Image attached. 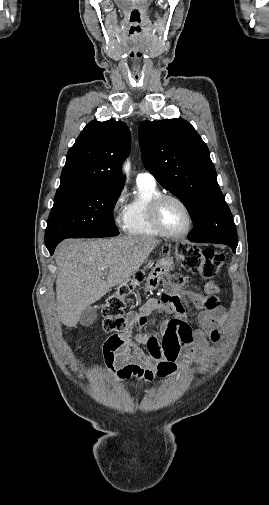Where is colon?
Listing matches in <instances>:
<instances>
[{"label": "colon", "instance_id": "1", "mask_svg": "<svg viewBox=\"0 0 269 505\" xmlns=\"http://www.w3.org/2000/svg\"><path fill=\"white\" fill-rule=\"evenodd\" d=\"M177 253L188 273L201 274L203 281H218L221 278L220 270L224 263L222 253L213 249H201L187 245L178 246ZM144 277L142 271L137 272L132 279L122 283L115 293L107 296L102 314L103 328L106 332L112 333L110 338L128 332L130 325L124 316L126 298L136 290Z\"/></svg>", "mask_w": 269, "mask_h": 505}]
</instances>
